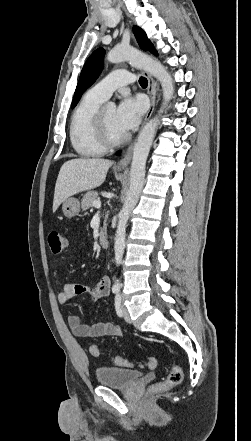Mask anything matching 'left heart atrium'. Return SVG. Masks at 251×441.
<instances>
[{
	"label": "left heart atrium",
	"mask_w": 251,
	"mask_h": 441,
	"mask_svg": "<svg viewBox=\"0 0 251 441\" xmlns=\"http://www.w3.org/2000/svg\"><path fill=\"white\" fill-rule=\"evenodd\" d=\"M144 104L140 99L124 98L116 109V123L123 133L134 130L140 123Z\"/></svg>",
	"instance_id": "39dd6f15"
}]
</instances>
